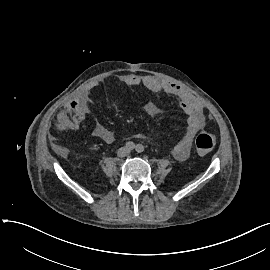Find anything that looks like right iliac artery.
<instances>
[{
  "label": "right iliac artery",
  "instance_id": "82829eb1",
  "mask_svg": "<svg viewBox=\"0 0 270 270\" xmlns=\"http://www.w3.org/2000/svg\"><path fill=\"white\" fill-rule=\"evenodd\" d=\"M126 148L129 149V150H133L135 148V144L133 142H127L125 144Z\"/></svg>",
  "mask_w": 270,
  "mask_h": 270
}]
</instances>
